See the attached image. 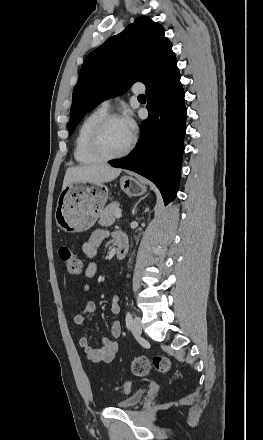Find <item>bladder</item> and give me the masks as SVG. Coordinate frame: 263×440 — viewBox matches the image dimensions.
I'll return each instance as SVG.
<instances>
[{
    "mask_svg": "<svg viewBox=\"0 0 263 440\" xmlns=\"http://www.w3.org/2000/svg\"><path fill=\"white\" fill-rule=\"evenodd\" d=\"M144 391L143 390H137L136 392L128 395L121 401H119L116 406L120 409H131L135 407L143 398Z\"/></svg>",
    "mask_w": 263,
    "mask_h": 440,
    "instance_id": "31cf9c89",
    "label": "bladder"
}]
</instances>
